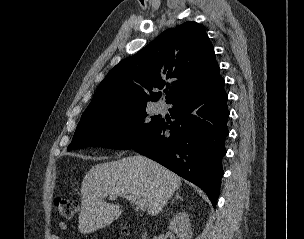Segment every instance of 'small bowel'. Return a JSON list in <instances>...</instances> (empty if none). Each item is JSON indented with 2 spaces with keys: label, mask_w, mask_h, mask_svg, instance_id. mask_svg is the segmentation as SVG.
I'll return each instance as SVG.
<instances>
[{
  "label": "small bowel",
  "mask_w": 304,
  "mask_h": 239,
  "mask_svg": "<svg viewBox=\"0 0 304 239\" xmlns=\"http://www.w3.org/2000/svg\"><path fill=\"white\" fill-rule=\"evenodd\" d=\"M67 226L64 222H59L57 224V231L51 235V239H61V233L66 231Z\"/></svg>",
  "instance_id": "1"
}]
</instances>
